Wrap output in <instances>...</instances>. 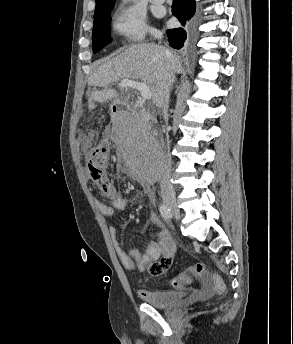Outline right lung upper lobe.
Masks as SVG:
<instances>
[{
	"instance_id": "1",
	"label": "right lung upper lobe",
	"mask_w": 293,
	"mask_h": 344,
	"mask_svg": "<svg viewBox=\"0 0 293 344\" xmlns=\"http://www.w3.org/2000/svg\"><path fill=\"white\" fill-rule=\"evenodd\" d=\"M114 3L115 0H96V9H100Z\"/></svg>"
}]
</instances>
